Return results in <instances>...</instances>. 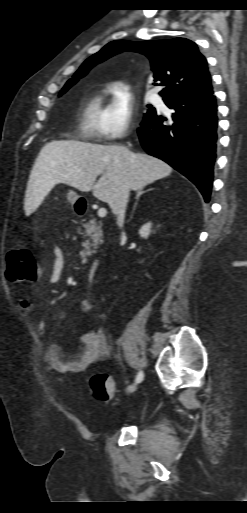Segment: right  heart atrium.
I'll list each match as a JSON object with an SVG mask.
<instances>
[{
  "label": "right heart atrium",
  "mask_w": 247,
  "mask_h": 513,
  "mask_svg": "<svg viewBox=\"0 0 247 513\" xmlns=\"http://www.w3.org/2000/svg\"><path fill=\"white\" fill-rule=\"evenodd\" d=\"M111 99L101 122L100 137L115 141L125 137L132 125L135 100L130 88L119 81L110 86Z\"/></svg>",
  "instance_id": "obj_1"
}]
</instances>
